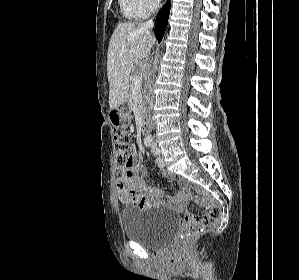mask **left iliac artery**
<instances>
[{"label": "left iliac artery", "mask_w": 299, "mask_h": 280, "mask_svg": "<svg viewBox=\"0 0 299 280\" xmlns=\"http://www.w3.org/2000/svg\"><path fill=\"white\" fill-rule=\"evenodd\" d=\"M152 152L154 153V155L159 154V149L157 148V146L155 144L152 145Z\"/></svg>", "instance_id": "left-iliac-artery-1"}]
</instances>
